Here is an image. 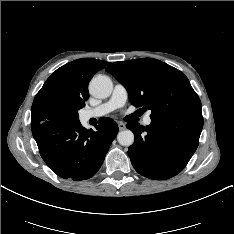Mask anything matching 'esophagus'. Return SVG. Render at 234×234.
<instances>
[{
    "label": "esophagus",
    "mask_w": 234,
    "mask_h": 234,
    "mask_svg": "<svg viewBox=\"0 0 234 234\" xmlns=\"http://www.w3.org/2000/svg\"><path fill=\"white\" fill-rule=\"evenodd\" d=\"M119 130H124L126 128V125L122 122L118 123Z\"/></svg>",
    "instance_id": "34e87169"
}]
</instances>
